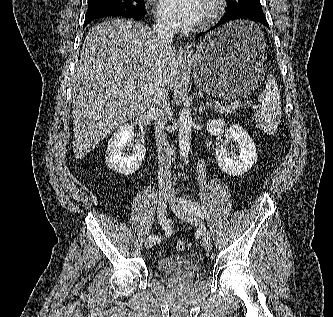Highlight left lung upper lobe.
<instances>
[{
	"instance_id": "left-lung-upper-lobe-1",
	"label": "left lung upper lobe",
	"mask_w": 333,
	"mask_h": 317,
	"mask_svg": "<svg viewBox=\"0 0 333 317\" xmlns=\"http://www.w3.org/2000/svg\"><path fill=\"white\" fill-rule=\"evenodd\" d=\"M226 14L250 8H262L260 0H226Z\"/></svg>"
}]
</instances>
